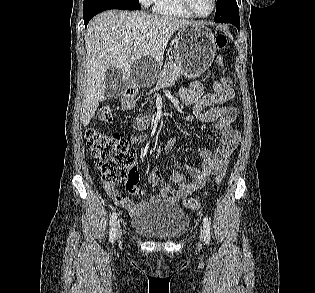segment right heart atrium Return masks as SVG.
Segmentation results:
<instances>
[{
  "label": "right heart atrium",
  "mask_w": 315,
  "mask_h": 293,
  "mask_svg": "<svg viewBox=\"0 0 315 293\" xmlns=\"http://www.w3.org/2000/svg\"><path fill=\"white\" fill-rule=\"evenodd\" d=\"M139 2L146 8L155 6L156 0H139Z\"/></svg>",
  "instance_id": "1"
}]
</instances>
